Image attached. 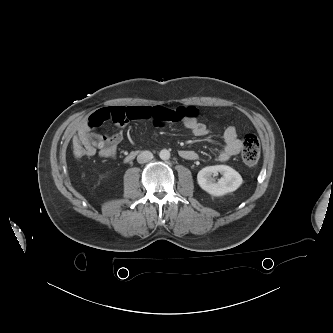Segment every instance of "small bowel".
I'll return each mask as SVG.
<instances>
[{"label":"small bowel","instance_id":"small-bowel-1","mask_svg":"<svg viewBox=\"0 0 333 333\" xmlns=\"http://www.w3.org/2000/svg\"><path fill=\"white\" fill-rule=\"evenodd\" d=\"M132 120H152L156 125L181 122L196 137L207 135L208 129L197 117L193 107H178L175 109L163 106H115L97 110L81 125L77 138L85 148L86 156L98 154L101 158H113L119 144L123 140L122 130ZM111 121L117 131L110 135L94 133L93 130ZM223 148L218 155L221 162L229 160L241 151V141L235 127L229 126L223 132ZM180 155L187 160L196 158L192 150H182Z\"/></svg>","mask_w":333,"mask_h":333}]
</instances>
